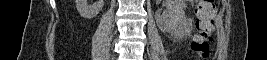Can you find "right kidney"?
<instances>
[{"instance_id":"1","label":"right kidney","mask_w":267,"mask_h":60,"mask_svg":"<svg viewBox=\"0 0 267 60\" xmlns=\"http://www.w3.org/2000/svg\"><path fill=\"white\" fill-rule=\"evenodd\" d=\"M76 8L79 14L86 19H92L102 10L104 0H97L96 3L90 5L88 0H75Z\"/></svg>"}]
</instances>
